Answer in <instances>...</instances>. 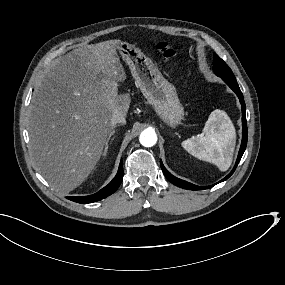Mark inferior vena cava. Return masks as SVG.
I'll use <instances>...</instances> for the list:
<instances>
[{"label": "inferior vena cava", "mask_w": 285, "mask_h": 285, "mask_svg": "<svg viewBox=\"0 0 285 285\" xmlns=\"http://www.w3.org/2000/svg\"><path fill=\"white\" fill-rule=\"evenodd\" d=\"M125 123V117L120 112H115L111 119L112 126L115 127L116 125H121Z\"/></svg>", "instance_id": "602c4592"}]
</instances>
